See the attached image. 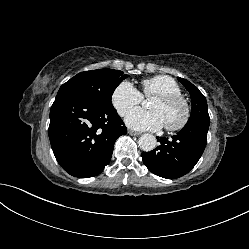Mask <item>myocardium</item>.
I'll return each instance as SVG.
<instances>
[{
  "label": "myocardium",
  "mask_w": 249,
  "mask_h": 249,
  "mask_svg": "<svg viewBox=\"0 0 249 249\" xmlns=\"http://www.w3.org/2000/svg\"><path fill=\"white\" fill-rule=\"evenodd\" d=\"M155 99L165 104H180L183 108L182 119L176 124H165L166 130L171 132L180 131L188 124L191 118V106L184 96L175 94H162L155 96Z\"/></svg>",
  "instance_id": "1"
}]
</instances>
